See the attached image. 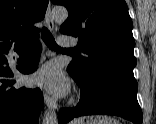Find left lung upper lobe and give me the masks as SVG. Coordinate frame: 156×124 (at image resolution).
Segmentation results:
<instances>
[{"label": "left lung upper lobe", "instance_id": "5c2ea615", "mask_svg": "<svg viewBox=\"0 0 156 124\" xmlns=\"http://www.w3.org/2000/svg\"><path fill=\"white\" fill-rule=\"evenodd\" d=\"M67 8L69 16L60 31L79 39V52L68 72L83 84L107 72L135 79L133 24L124 0H52Z\"/></svg>", "mask_w": 156, "mask_h": 124}]
</instances>
